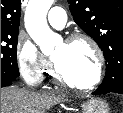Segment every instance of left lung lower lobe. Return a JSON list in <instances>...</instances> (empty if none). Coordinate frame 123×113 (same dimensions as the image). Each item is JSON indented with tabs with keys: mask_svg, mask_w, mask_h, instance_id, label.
<instances>
[{
	"mask_svg": "<svg viewBox=\"0 0 123 113\" xmlns=\"http://www.w3.org/2000/svg\"><path fill=\"white\" fill-rule=\"evenodd\" d=\"M109 92L123 94V86H119V87H116V88H113V89H109V88L102 87L100 85L99 88L95 92H93L92 94L93 95H102V94H107Z\"/></svg>",
	"mask_w": 123,
	"mask_h": 113,
	"instance_id": "obj_1",
	"label": "left lung lower lobe"
}]
</instances>
